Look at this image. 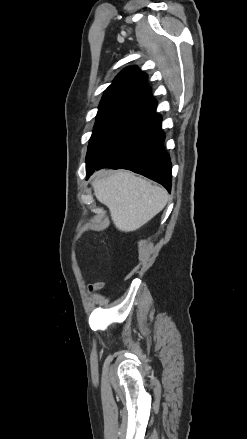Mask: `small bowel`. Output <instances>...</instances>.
<instances>
[{
	"mask_svg": "<svg viewBox=\"0 0 247 439\" xmlns=\"http://www.w3.org/2000/svg\"><path fill=\"white\" fill-rule=\"evenodd\" d=\"M102 287V283H95L94 285L90 286V291H97Z\"/></svg>",
	"mask_w": 247,
	"mask_h": 439,
	"instance_id": "1",
	"label": "small bowel"
}]
</instances>
